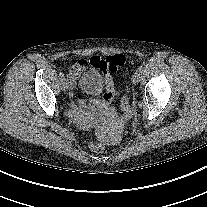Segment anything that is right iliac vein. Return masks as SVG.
Segmentation results:
<instances>
[{
    "instance_id": "1",
    "label": "right iliac vein",
    "mask_w": 207,
    "mask_h": 207,
    "mask_svg": "<svg viewBox=\"0 0 207 207\" xmlns=\"http://www.w3.org/2000/svg\"><path fill=\"white\" fill-rule=\"evenodd\" d=\"M69 89H70V86H69L68 82L66 80H63L62 81V90L64 92H67Z\"/></svg>"
}]
</instances>
